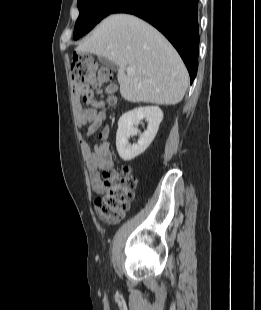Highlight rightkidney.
I'll return each instance as SVG.
<instances>
[{"instance_id": "obj_1", "label": "right kidney", "mask_w": 261, "mask_h": 310, "mask_svg": "<svg viewBox=\"0 0 261 310\" xmlns=\"http://www.w3.org/2000/svg\"><path fill=\"white\" fill-rule=\"evenodd\" d=\"M148 122V127L136 144L130 145V136L137 135V126L141 120ZM163 119V112L157 106L138 107L124 113L118 121L116 133V148L120 158L130 161L143 153L154 140L159 125Z\"/></svg>"}]
</instances>
